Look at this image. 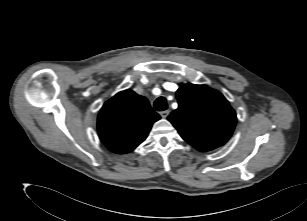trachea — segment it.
I'll list each match as a JSON object with an SVG mask.
<instances>
[{
    "instance_id": "3493384b",
    "label": "trachea",
    "mask_w": 307,
    "mask_h": 221,
    "mask_svg": "<svg viewBox=\"0 0 307 221\" xmlns=\"http://www.w3.org/2000/svg\"><path fill=\"white\" fill-rule=\"evenodd\" d=\"M154 109L156 111H164L167 109V101L165 97H158L154 102Z\"/></svg>"
}]
</instances>
